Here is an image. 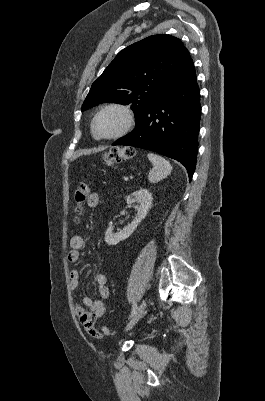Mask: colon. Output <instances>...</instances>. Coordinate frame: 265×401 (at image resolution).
Wrapping results in <instances>:
<instances>
[{"mask_svg":"<svg viewBox=\"0 0 265 401\" xmlns=\"http://www.w3.org/2000/svg\"><path fill=\"white\" fill-rule=\"evenodd\" d=\"M134 155L132 149L127 147H115L107 151L103 160L107 165H114L123 160L129 159ZM90 197V188L86 183H80L75 190V201L78 205V213L81 211L82 204ZM88 332L94 337H101L103 334H110L111 330L108 327H103L101 332L94 327H88Z\"/></svg>","mask_w":265,"mask_h":401,"instance_id":"5ec220e1","label":"colon"}]
</instances>
